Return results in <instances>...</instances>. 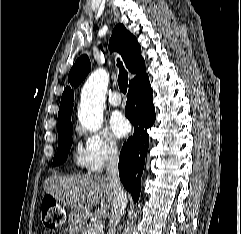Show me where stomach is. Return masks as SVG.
<instances>
[{"mask_svg":"<svg viewBox=\"0 0 241 234\" xmlns=\"http://www.w3.org/2000/svg\"><path fill=\"white\" fill-rule=\"evenodd\" d=\"M84 221V218L82 216H79L78 214L74 213L71 217V222L74 225H77L78 223H82Z\"/></svg>","mask_w":241,"mask_h":234,"instance_id":"0dacf381","label":"stomach"}]
</instances>
